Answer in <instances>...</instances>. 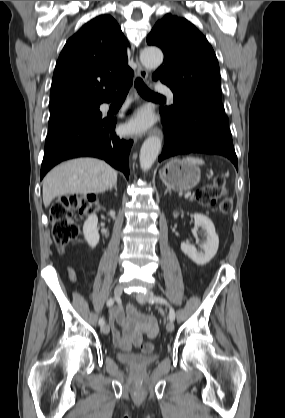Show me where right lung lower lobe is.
<instances>
[{"label":"right lung lower lobe","mask_w":285,"mask_h":418,"mask_svg":"<svg viewBox=\"0 0 285 418\" xmlns=\"http://www.w3.org/2000/svg\"><path fill=\"white\" fill-rule=\"evenodd\" d=\"M116 119L74 122L49 134L41 165V179L56 164L77 157L105 160L129 177L128 158L132 141L119 138L114 131Z\"/></svg>","instance_id":"1"}]
</instances>
